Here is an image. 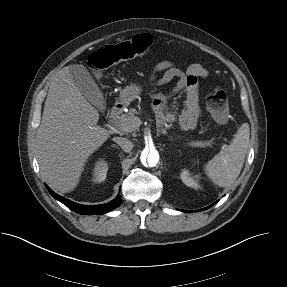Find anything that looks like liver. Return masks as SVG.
I'll use <instances>...</instances> for the list:
<instances>
[{"label": "liver", "mask_w": 287, "mask_h": 287, "mask_svg": "<svg viewBox=\"0 0 287 287\" xmlns=\"http://www.w3.org/2000/svg\"><path fill=\"white\" fill-rule=\"evenodd\" d=\"M99 113L74 84L66 66L53 77L36 134L43 178L61 193L73 191L89 156L109 137Z\"/></svg>", "instance_id": "6515ba94"}]
</instances>
